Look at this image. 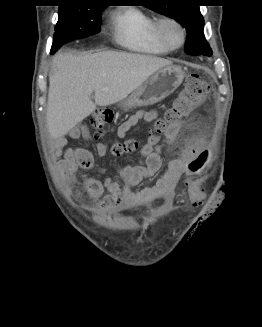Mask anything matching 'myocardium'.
I'll return each mask as SVG.
<instances>
[{"label":"myocardium","mask_w":262,"mask_h":327,"mask_svg":"<svg viewBox=\"0 0 262 327\" xmlns=\"http://www.w3.org/2000/svg\"><path fill=\"white\" fill-rule=\"evenodd\" d=\"M173 26L179 32V40L177 42L171 41L167 34V27ZM156 31L160 40L170 49H178L183 46L186 40V29L184 25L177 19L169 16L161 17L156 22Z\"/></svg>","instance_id":"obj_1"}]
</instances>
